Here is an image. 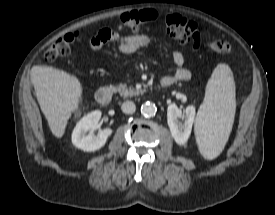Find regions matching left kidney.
Instances as JSON below:
<instances>
[{
  "instance_id": "left-kidney-1",
  "label": "left kidney",
  "mask_w": 275,
  "mask_h": 215,
  "mask_svg": "<svg viewBox=\"0 0 275 215\" xmlns=\"http://www.w3.org/2000/svg\"><path fill=\"white\" fill-rule=\"evenodd\" d=\"M185 120L183 123L179 121V117L182 115V110L177 107L176 104H171L167 109V122L174 138L175 142L179 145H183L187 142L192 125L195 118V107L190 105L184 109Z\"/></svg>"
}]
</instances>
